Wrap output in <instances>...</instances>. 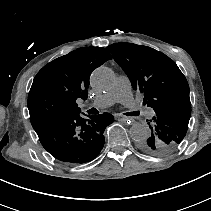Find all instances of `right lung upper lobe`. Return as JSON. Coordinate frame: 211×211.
Listing matches in <instances>:
<instances>
[{
  "instance_id": "obj_1",
  "label": "right lung upper lobe",
  "mask_w": 211,
  "mask_h": 211,
  "mask_svg": "<svg viewBox=\"0 0 211 211\" xmlns=\"http://www.w3.org/2000/svg\"><path fill=\"white\" fill-rule=\"evenodd\" d=\"M110 59L105 48L84 47L45 65L35 76L28 96L33 128L80 112L76 100L87 98L92 71Z\"/></svg>"
}]
</instances>
